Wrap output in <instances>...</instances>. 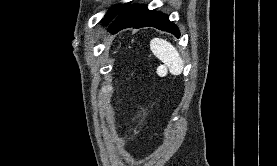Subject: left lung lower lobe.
<instances>
[{
	"label": "left lung lower lobe",
	"mask_w": 277,
	"mask_h": 166,
	"mask_svg": "<svg viewBox=\"0 0 277 166\" xmlns=\"http://www.w3.org/2000/svg\"><path fill=\"white\" fill-rule=\"evenodd\" d=\"M155 27L160 30L172 32L179 37L178 28L169 21L168 17L160 12L149 11L146 6L131 5L121 11L108 27L112 34L128 27Z\"/></svg>",
	"instance_id": "left-lung-lower-lobe-1"
}]
</instances>
